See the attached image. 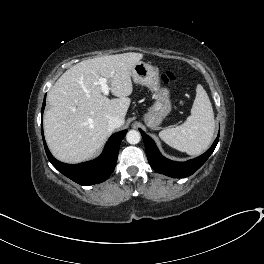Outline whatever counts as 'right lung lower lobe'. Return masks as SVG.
<instances>
[{"label":"right lung lower lobe","instance_id":"obj_1","mask_svg":"<svg viewBox=\"0 0 264 264\" xmlns=\"http://www.w3.org/2000/svg\"><path fill=\"white\" fill-rule=\"evenodd\" d=\"M45 104L46 96L42 105L41 120H43ZM41 131L45 151L50 163L63 175L80 185L98 184L105 181L111 175L116 166L120 143L127 133V130H123L113 134L106 143L103 153L97 159L77 165H71L59 162L50 153L44 139L42 121Z\"/></svg>","mask_w":264,"mask_h":264}]
</instances>
